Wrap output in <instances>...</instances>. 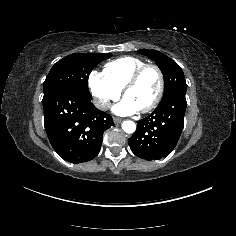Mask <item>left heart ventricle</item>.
Wrapping results in <instances>:
<instances>
[{
    "label": "left heart ventricle",
    "mask_w": 236,
    "mask_h": 236,
    "mask_svg": "<svg viewBox=\"0 0 236 236\" xmlns=\"http://www.w3.org/2000/svg\"><path fill=\"white\" fill-rule=\"evenodd\" d=\"M158 89V76L152 69L145 71L137 83L125 94L139 110L145 108L154 99Z\"/></svg>",
    "instance_id": "obj_1"
}]
</instances>
